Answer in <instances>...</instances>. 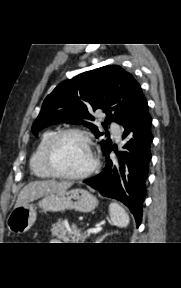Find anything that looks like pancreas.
<instances>
[{
    "label": "pancreas",
    "mask_w": 181,
    "mask_h": 288,
    "mask_svg": "<svg viewBox=\"0 0 181 288\" xmlns=\"http://www.w3.org/2000/svg\"><path fill=\"white\" fill-rule=\"evenodd\" d=\"M52 235L57 237L59 240L64 241L65 243H79L87 239L90 234H82L81 230L76 226H72L70 229H67L65 222L59 219L57 223L52 225L51 228Z\"/></svg>",
    "instance_id": "obj_1"
}]
</instances>
